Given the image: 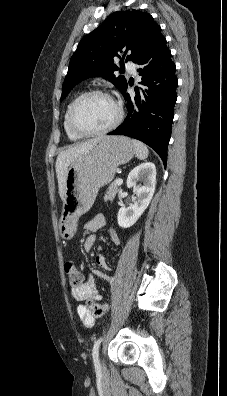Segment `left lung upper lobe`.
<instances>
[{
  "label": "left lung upper lobe",
  "instance_id": "obj_1",
  "mask_svg": "<svg viewBox=\"0 0 227 396\" xmlns=\"http://www.w3.org/2000/svg\"><path fill=\"white\" fill-rule=\"evenodd\" d=\"M162 36L161 27L145 12L132 10L112 13L78 44L63 83L61 101L74 86L89 77H103L122 91L127 81L122 75H114L115 71L121 69L114 63V58H120L119 53H124V56L129 54L127 60L134 62Z\"/></svg>",
  "mask_w": 227,
  "mask_h": 396
}]
</instances>
